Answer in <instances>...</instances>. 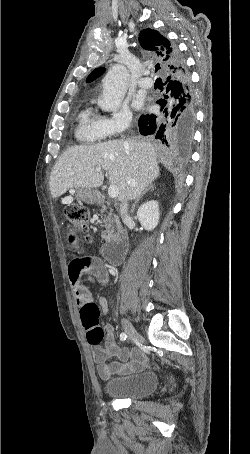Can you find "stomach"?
Returning a JSON list of instances; mask_svg holds the SVG:
<instances>
[{"label": "stomach", "instance_id": "0dacf381", "mask_svg": "<svg viewBox=\"0 0 250 454\" xmlns=\"http://www.w3.org/2000/svg\"><path fill=\"white\" fill-rule=\"evenodd\" d=\"M77 199L89 204H94L98 200V193L93 189L80 188L77 191Z\"/></svg>", "mask_w": 250, "mask_h": 454}]
</instances>
